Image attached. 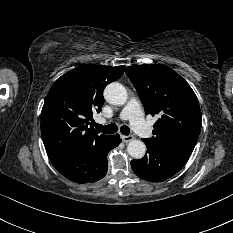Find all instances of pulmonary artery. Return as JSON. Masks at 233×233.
<instances>
[{"label":"pulmonary artery","mask_w":233,"mask_h":233,"mask_svg":"<svg viewBox=\"0 0 233 233\" xmlns=\"http://www.w3.org/2000/svg\"><path fill=\"white\" fill-rule=\"evenodd\" d=\"M120 117L122 120H128L132 128L144 137L151 134V129L144 120L143 112L138 99L130 98L126 105L123 107ZM99 123H104L105 120L98 119Z\"/></svg>","instance_id":"pulmonary-artery-1"}]
</instances>
